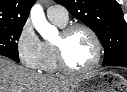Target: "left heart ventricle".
Segmentation results:
<instances>
[{
    "label": "left heart ventricle",
    "instance_id": "b2bd125f",
    "mask_svg": "<svg viewBox=\"0 0 127 92\" xmlns=\"http://www.w3.org/2000/svg\"><path fill=\"white\" fill-rule=\"evenodd\" d=\"M59 39V36L55 41ZM65 58L70 66L84 68L95 57V46L90 35L84 30L74 31L64 43Z\"/></svg>",
    "mask_w": 127,
    "mask_h": 92
}]
</instances>
